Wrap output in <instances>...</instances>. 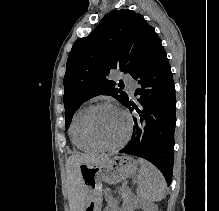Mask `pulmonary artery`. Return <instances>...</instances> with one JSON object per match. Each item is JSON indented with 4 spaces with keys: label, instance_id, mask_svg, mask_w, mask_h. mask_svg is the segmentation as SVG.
Listing matches in <instances>:
<instances>
[{
    "label": "pulmonary artery",
    "instance_id": "1",
    "mask_svg": "<svg viewBox=\"0 0 219 211\" xmlns=\"http://www.w3.org/2000/svg\"><path fill=\"white\" fill-rule=\"evenodd\" d=\"M126 84H127V87H128V89H129V91H130L131 93H133V92H134V89H135L134 85H133L132 83H130V82H127Z\"/></svg>",
    "mask_w": 219,
    "mask_h": 211
}]
</instances>
